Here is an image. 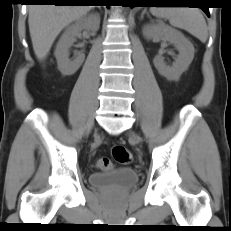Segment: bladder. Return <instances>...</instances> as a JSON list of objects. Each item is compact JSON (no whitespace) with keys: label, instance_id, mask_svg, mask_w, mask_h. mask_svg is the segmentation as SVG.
Here are the masks:
<instances>
[{"label":"bladder","instance_id":"obj_1","mask_svg":"<svg viewBox=\"0 0 231 231\" xmlns=\"http://www.w3.org/2000/svg\"><path fill=\"white\" fill-rule=\"evenodd\" d=\"M138 180V174L127 168L94 173L88 176L89 184L93 188L105 191H125L134 187Z\"/></svg>","mask_w":231,"mask_h":231}]
</instances>
